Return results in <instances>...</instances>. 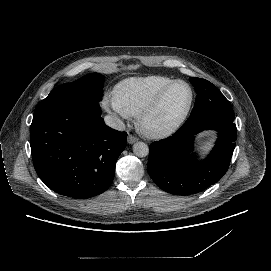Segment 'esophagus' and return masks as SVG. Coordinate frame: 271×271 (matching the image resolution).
Returning <instances> with one entry per match:
<instances>
[{
	"mask_svg": "<svg viewBox=\"0 0 271 271\" xmlns=\"http://www.w3.org/2000/svg\"><path fill=\"white\" fill-rule=\"evenodd\" d=\"M127 141H128L129 144H133V143H135L136 141H138V138L135 137V136L132 135V134H129V135H128V138H127Z\"/></svg>",
	"mask_w": 271,
	"mask_h": 271,
	"instance_id": "1",
	"label": "esophagus"
}]
</instances>
